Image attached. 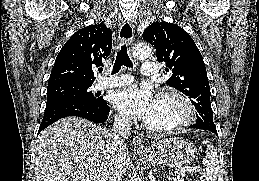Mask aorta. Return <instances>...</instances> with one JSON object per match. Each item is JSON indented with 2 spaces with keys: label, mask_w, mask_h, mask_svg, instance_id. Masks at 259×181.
Masks as SVG:
<instances>
[{
  "label": "aorta",
  "mask_w": 259,
  "mask_h": 181,
  "mask_svg": "<svg viewBox=\"0 0 259 181\" xmlns=\"http://www.w3.org/2000/svg\"><path fill=\"white\" fill-rule=\"evenodd\" d=\"M151 54V48L146 43H139L133 49V56L135 58L144 59L150 57ZM131 181H141L136 171L132 173Z\"/></svg>",
  "instance_id": "aorta-1"
}]
</instances>
